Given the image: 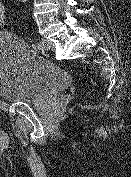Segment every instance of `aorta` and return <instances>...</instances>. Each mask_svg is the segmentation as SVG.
<instances>
[{"label": "aorta", "instance_id": "aorta-1", "mask_svg": "<svg viewBox=\"0 0 131 177\" xmlns=\"http://www.w3.org/2000/svg\"><path fill=\"white\" fill-rule=\"evenodd\" d=\"M20 1H22V2H26L27 0H20Z\"/></svg>", "mask_w": 131, "mask_h": 177}]
</instances>
